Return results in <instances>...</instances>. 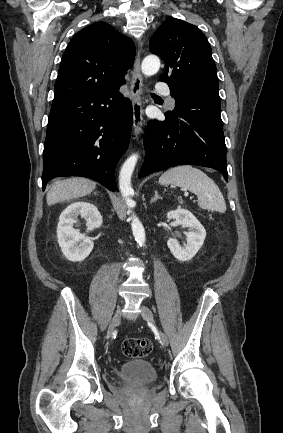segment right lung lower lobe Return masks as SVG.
<instances>
[{"label":"right lung lower lobe","mask_w":283,"mask_h":433,"mask_svg":"<svg viewBox=\"0 0 283 433\" xmlns=\"http://www.w3.org/2000/svg\"><path fill=\"white\" fill-rule=\"evenodd\" d=\"M119 87L52 104L43 151V190L49 180L62 176L91 178L116 190L114 167L128 148L133 122L131 101Z\"/></svg>","instance_id":"98d812e1"}]
</instances>
